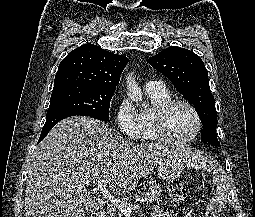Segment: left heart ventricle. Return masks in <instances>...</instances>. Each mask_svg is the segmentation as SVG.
Masks as SVG:
<instances>
[{
  "label": "left heart ventricle",
  "instance_id": "left-heart-ventricle-1",
  "mask_svg": "<svg viewBox=\"0 0 255 217\" xmlns=\"http://www.w3.org/2000/svg\"><path fill=\"white\" fill-rule=\"evenodd\" d=\"M197 127L193 112L185 105L174 106L167 116V129L175 138L191 136Z\"/></svg>",
  "mask_w": 255,
  "mask_h": 217
}]
</instances>
